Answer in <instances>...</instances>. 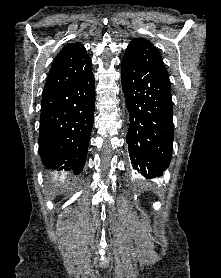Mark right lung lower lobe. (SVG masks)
Returning <instances> with one entry per match:
<instances>
[{
    "label": "right lung lower lobe",
    "instance_id": "98d812e1",
    "mask_svg": "<svg viewBox=\"0 0 221 278\" xmlns=\"http://www.w3.org/2000/svg\"><path fill=\"white\" fill-rule=\"evenodd\" d=\"M93 74L43 92L39 151L50 176L71 180L84 167L94 121Z\"/></svg>",
    "mask_w": 221,
    "mask_h": 278
}]
</instances>
